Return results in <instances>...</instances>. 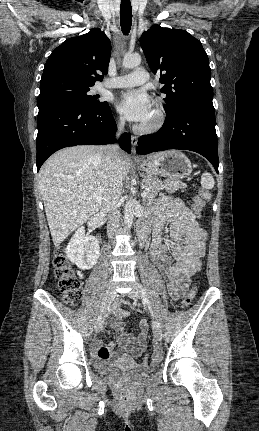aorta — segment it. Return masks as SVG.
I'll list each match as a JSON object with an SVG mask.
<instances>
[{
	"label": "aorta",
	"instance_id": "762f6f07",
	"mask_svg": "<svg viewBox=\"0 0 259 431\" xmlns=\"http://www.w3.org/2000/svg\"><path fill=\"white\" fill-rule=\"evenodd\" d=\"M141 63V56L139 54H127L123 58V67L132 69L139 66ZM134 218V200L129 198L124 208V224L128 229L131 228Z\"/></svg>",
	"mask_w": 259,
	"mask_h": 431
}]
</instances>
